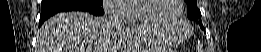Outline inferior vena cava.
Listing matches in <instances>:
<instances>
[{"instance_id":"1","label":"inferior vena cava","mask_w":261,"mask_h":52,"mask_svg":"<svg viewBox=\"0 0 261 52\" xmlns=\"http://www.w3.org/2000/svg\"><path fill=\"white\" fill-rule=\"evenodd\" d=\"M108 19L110 24L120 25L119 21L113 15L108 16Z\"/></svg>"}]
</instances>
